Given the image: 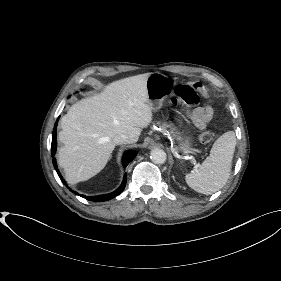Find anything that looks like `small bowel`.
I'll return each instance as SVG.
<instances>
[{
  "mask_svg": "<svg viewBox=\"0 0 281 281\" xmlns=\"http://www.w3.org/2000/svg\"><path fill=\"white\" fill-rule=\"evenodd\" d=\"M213 111L210 107H198L193 110L192 117L199 129H204L212 118Z\"/></svg>",
  "mask_w": 281,
  "mask_h": 281,
  "instance_id": "c3829d8e",
  "label": "small bowel"
}]
</instances>
